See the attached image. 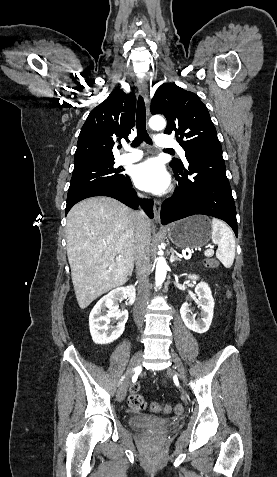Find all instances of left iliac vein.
Wrapping results in <instances>:
<instances>
[{"instance_id":"obj_1","label":"left iliac vein","mask_w":277,"mask_h":477,"mask_svg":"<svg viewBox=\"0 0 277 477\" xmlns=\"http://www.w3.org/2000/svg\"><path fill=\"white\" fill-rule=\"evenodd\" d=\"M171 358H172V361L174 362V364H175V366H176V368L179 372L180 378L185 382L186 381V372H185V368H184L180 358L174 352L171 353Z\"/></svg>"}]
</instances>
